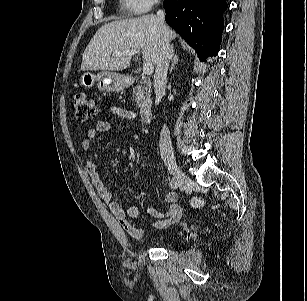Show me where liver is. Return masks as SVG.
I'll list each match as a JSON object with an SVG mask.
<instances>
[{"mask_svg":"<svg viewBox=\"0 0 307 301\" xmlns=\"http://www.w3.org/2000/svg\"><path fill=\"white\" fill-rule=\"evenodd\" d=\"M168 40L176 33L166 27ZM164 26L153 14L138 18L120 19L103 25L87 45L81 63L82 71H119L131 64L132 55L113 56V52L142 49V57L156 65L159 57ZM112 55V56H111Z\"/></svg>","mask_w":307,"mask_h":301,"instance_id":"1","label":"liver"}]
</instances>
